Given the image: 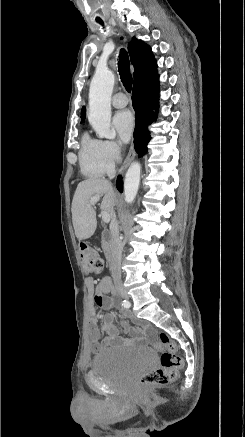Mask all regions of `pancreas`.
I'll list each match as a JSON object with an SVG mask.
<instances>
[{"mask_svg": "<svg viewBox=\"0 0 245 437\" xmlns=\"http://www.w3.org/2000/svg\"><path fill=\"white\" fill-rule=\"evenodd\" d=\"M102 246H103V247L105 246V243H104V242L102 243Z\"/></svg>", "mask_w": 245, "mask_h": 437, "instance_id": "1", "label": "pancreas"}]
</instances>
